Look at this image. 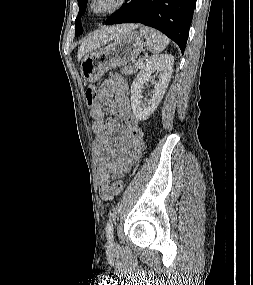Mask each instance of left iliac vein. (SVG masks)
Segmentation results:
<instances>
[{"label": "left iliac vein", "mask_w": 253, "mask_h": 285, "mask_svg": "<svg viewBox=\"0 0 253 285\" xmlns=\"http://www.w3.org/2000/svg\"><path fill=\"white\" fill-rule=\"evenodd\" d=\"M114 246V242L113 241H109V247H113Z\"/></svg>", "instance_id": "left-iliac-vein-1"}]
</instances>
